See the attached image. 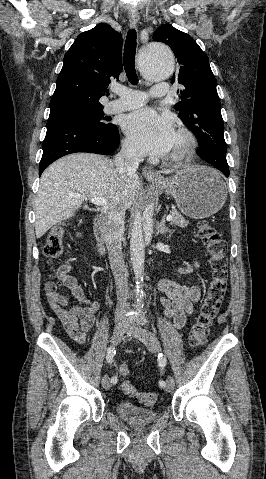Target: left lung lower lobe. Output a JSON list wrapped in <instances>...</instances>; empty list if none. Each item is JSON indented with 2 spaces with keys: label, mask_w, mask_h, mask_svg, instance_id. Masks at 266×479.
<instances>
[{
  "label": "left lung lower lobe",
  "mask_w": 266,
  "mask_h": 479,
  "mask_svg": "<svg viewBox=\"0 0 266 479\" xmlns=\"http://www.w3.org/2000/svg\"><path fill=\"white\" fill-rule=\"evenodd\" d=\"M226 177L229 176V168L228 167H222L219 169Z\"/></svg>",
  "instance_id": "obj_1"
}]
</instances>
